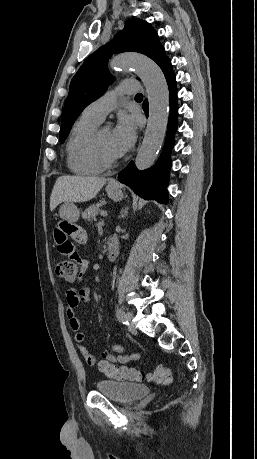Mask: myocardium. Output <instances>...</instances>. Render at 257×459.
Masks as SVG:
<instances>
[{
  "label": "myocardium",
  "instance_id": "1",
  "mask_svg": "<svg viewBox=\"0 0 257 459\" xmlns=\"http://www.w3.org/2000/svg\"><path fill=\"white\" fill-rule=\"evenodd\" d=\"M101 131L102 129L95 131L91 142V151L93 157L99 165H101L103 168H110L117 164L119 157H109L105 154L100 143Z\"/></svg>",
  "mask_w": 257,
  "mask_h": 459
}]
</instances>
